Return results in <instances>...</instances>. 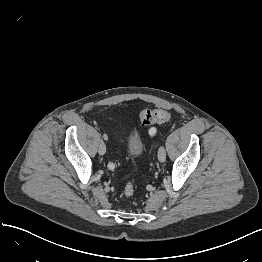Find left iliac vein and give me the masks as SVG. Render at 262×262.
<instances>
[{
  "mask_svg": "<svg viewBox=\"0 0 262 262\" xmlns=\"http://www.w3.org/2000/svg\"><path fill=\"white\" fill-rule=\"evenodd\" d=\"M158 159L162 163L165 162L166 160V151H165L164 146H160L158 149Z\"/></svg>",
  "mask_w": 262,
  "mask_h": 262,
  "instance_id": "obj_1",
  "label": "left iliac vein"
}]
</instances>
